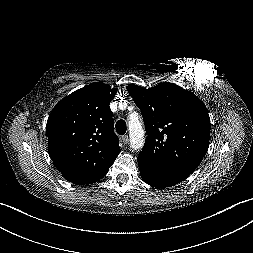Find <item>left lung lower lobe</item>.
<instances>
[{
    "label": "left lung lower lobe",
    "instance_id": "1",
    "mask_svg": "<svg viewBox=\"0 0 253 253\" xmlns=\"http://www.w3.org/2000/svg\"><path fill=\"white\" fill-rule=\"evenodd\" d=\"M137 161L143 180L147 184L157 188L172 187L187 179L191 174L186 171L159 168L141 155L138 156Z\"/></svg>",
    "mask_w": 253,
    "mask_h": 253
}]
</instances>
